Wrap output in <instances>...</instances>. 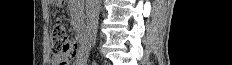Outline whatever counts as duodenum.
Here are the masks:
<instances>
[{
	"mask_svg": "<svg viewBox=\"0 0 232 65\" xmlns=\"http://www.w3.org/2000/svg\"><path fill=\"white\" fill-rule=\"evenodd\" d=\"M78 42L80 44V48L84 54L88 52L89 48V40L88 35L85 30H81L78 34Z\"/></svg>",
	"mask_w": 232,
	"mask_h": 65,
	"instance_id": "410a0bca",
	"label": "duodenum"
}]
</instances>
